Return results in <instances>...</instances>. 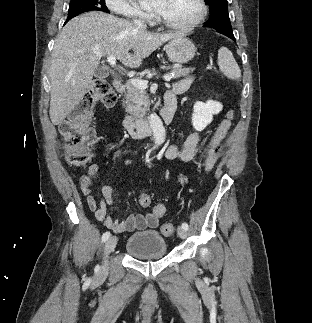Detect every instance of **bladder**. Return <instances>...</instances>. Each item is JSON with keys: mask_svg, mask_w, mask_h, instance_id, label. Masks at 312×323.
Here are the masks:
<instances>
[{"mask_svg": "<svg viewBox=\"0 0 312 323\" xmlns=\"http://www.w3.org/2000/svg\"><path fill=\"white\" fill-rule=\"evenodd\" d=\"M128 255L141 259L164 257L167 253V241L158 231H142L132 234L126 240Z\"/></svg>", "mask_w": 312, "mask_h": 323, "instance_id": "1", "label": "bladder"}]
</instances>
